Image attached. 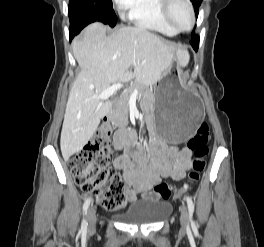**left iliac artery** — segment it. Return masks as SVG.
Here are the masks:
<instances>
[{"mask_svg":"<svg viewBox=\"0 0 264 247\" xmlns=\"http://www.w3.org/2000/svg\"><path fill=\"white\" fill-rule=\"evenodd\" d=\"M185 200H186L187 206H188L189 220H190L191 224H193L192 216H193V212H194V203L189 196H185Z\"/></svg>","mask_w":264,"mask_h":247,"instance_id":"44dca946","label":"left iliac artery"}]
</instances>
